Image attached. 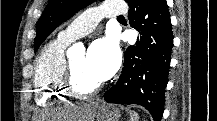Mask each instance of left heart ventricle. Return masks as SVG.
Returning <instances> with one entry per match:
<instances>
[{
  "label": "left heart ventricle",
  "mask_w": 217,
  "mask_h": 121,
  "mask_svg": "<svg viewBox=\"0 0 217 121\" xmlns=\"http://www.w3.org/2000/svg\"><path fill=\"white\" fill-rule=\"evenodd\" d=\"M71 63L76 82L81 88L90 89L100 83L88 67L84 54L72 58Z\"/></svg>",
  "instance_id": "left-heart-ventricle-1"
}]
</instances>
